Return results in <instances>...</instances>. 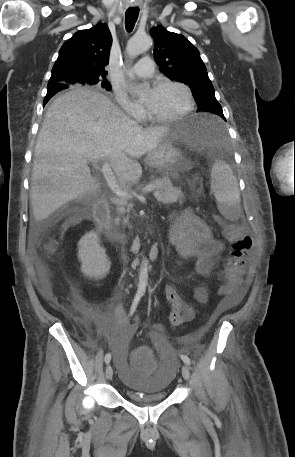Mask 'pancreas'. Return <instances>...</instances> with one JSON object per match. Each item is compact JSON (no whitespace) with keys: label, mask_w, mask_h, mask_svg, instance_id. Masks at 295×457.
Wrapping results in <instances>:
<instances>
[{"label":"pancreas","mask_w":295,"mask_h":457,"mask_svg":"<svg viewBox=\"0 0 295 457\" xmlns=\"http://www.w3.org/2000/svg\"><path fill=\"white\" fill-rule=\"evenodd\" d=\"M152 184H155L154 195L157 198L158 202L169 204L177 202L178 200H182L184 197L182 191L179 188L173 187L170 179L168 178L157 179L152 181ZM121 205H126V202H122ZM119 212L124 213L126 212V209L121 207L119 208ZM119 221L120 218L117 217L115 219V224H118Z\"/></svg>","instance_id":"cf45deb5"}]
</instances>
